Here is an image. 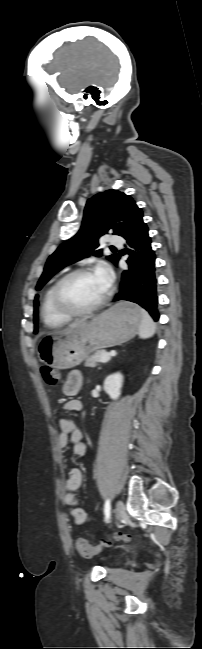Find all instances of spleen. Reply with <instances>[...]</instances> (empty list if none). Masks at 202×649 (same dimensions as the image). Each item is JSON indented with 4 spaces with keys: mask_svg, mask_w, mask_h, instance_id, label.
I'll return each mask as SVG.
<instances>
[{
    "mask_svg": "<svg viewBox=\"0 0 202 649\" xmlns=\"http://www.w3.org/2000/svg\"><path fill=\"white\" fill-rule=\"evenodd\" d=\"M142 321L138 331V335L142 339L149 338L155 333V324L150 317V315L145 311L141 310Z\"/></svg>",
    "mask_w": 202,
    "mask_h": 649,
    "instance_id": "3e777b00",
    "label": "spleen"
}]
</instances>
